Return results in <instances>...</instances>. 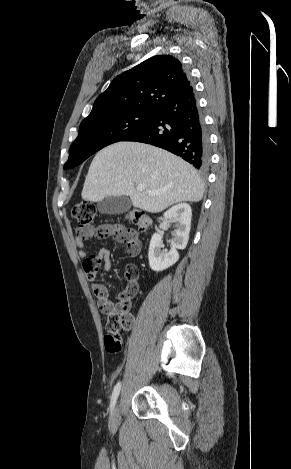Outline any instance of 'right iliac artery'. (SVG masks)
<instances>
[{
	"label": "right iliac artery",
	"mask_w": 291,
	"mask_h": 469,
	"mask_svg": "<svg viewBox=\"0 0 291 469\" xmlns=\"http://www.w3.org/2000/svg\"><path fill=\"white\" fill-rule=\"evenodd\" d=\"M120 389H121V383L118 382L115 387H114V390H113V393H112V396H111V403H110V410L112 412L114 406H115V403L117 401V398L119 396V393H120Z\"/></svg>",
	"instance_id": "obj_1"
}]
</instances>
